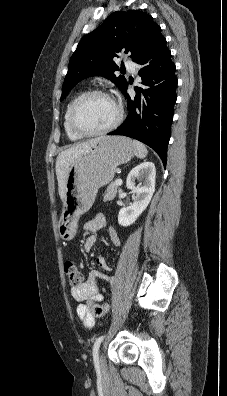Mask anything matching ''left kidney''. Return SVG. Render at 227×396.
<instances>
[{"mask_svg": "<svg viewBox=\"0 0 227 396\" xmlns=\"http://www.w3.org/2000/svg\"><path fill=\"white\" fill-rule=\"evenodd\" d=\"M156 169L152 162H143L134 167L127 176L126 186L132 190L134 202L132 205L121 208L118 214V223L127 227L133 224L146 209L155 191ZM142 185L135 186V181Z\"/></svg>", "mask_w": 227, "mask_h": 396, "instance_id": "1", "label": "left kidney"}]
</instances>
